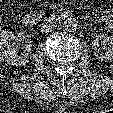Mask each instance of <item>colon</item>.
Returning <instances> with one entry per match:
<instances>
[{"label": "colon", "instance_id": "5ec220e1", "mask_svg": "<svg viewBox=\"0 0 113 113\" xmlns=\"http://www.w3.org/2000/svg\"><path fill=\"white\" fill-rule=\"evenodd\" d=\"M11 39H12V34L10 30L0 25V60L3 57L5 50L10 45Z\"/></svg>", "mask_w": 113, "mask_h": 113}]
</instances>
